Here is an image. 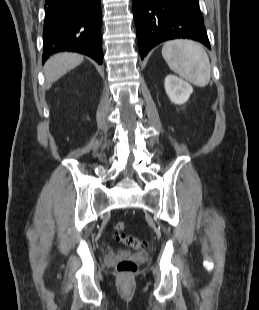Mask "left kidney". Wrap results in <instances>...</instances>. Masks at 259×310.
Segmentation results:
<instances>
[{
	"instance_id": "obj_1",
	"label": "left kidney",
	"mask_w": 259,
	"mask_h": 310,
	"mask_svg": "<svg viewBox=\"0 0 259 310\" xmlns=\"http://www.w3.org/2000/svg\"><path fill=\"white\" fill-rule=\"evenodd\" d=\"M164 86L171 102L179 105L185 103L193 92L188 82L172 74L166 76Z\"/></svg>"
}]
</instances>
